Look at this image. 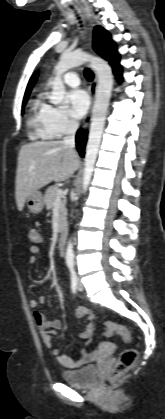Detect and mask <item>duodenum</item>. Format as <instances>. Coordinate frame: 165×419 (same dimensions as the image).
Here are the masks:
<instances>
[{
  "label": "duodenum",
  "mask_w": 165,
  "mask_h": 419,
  "mask_svg": "<svg viewBox=\"0 0 165 419\" xmlns=\"http://www.w3.org/2000/svg\"><path fill=\"white\" fill-rule=\"evenodd\" d=\"M66 239H67L66 233L62 232V233L60 234V236H59L58 240H57V248H58V251H59L61 254H63V253H64V251H65Z\"/></svg>",
  "instance_id": "410a0bca"
}]
</instances>
